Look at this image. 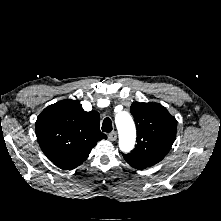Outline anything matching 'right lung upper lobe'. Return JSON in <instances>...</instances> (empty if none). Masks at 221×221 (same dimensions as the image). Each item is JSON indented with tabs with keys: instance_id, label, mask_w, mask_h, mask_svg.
I'll use <instances>...</instances> for the list:
<instances>
[{
	"instance_id": "1",
	"label": "right lung upper lobe",
	"mask_w": 221,
	"mask_h": 221,
	"mask_svg": "<svg viewBox=\"0 0 221 221\" xmlns=\"http://www.w3.org/2000/svg\"><path fill=\"white\" fill-rule=\"evenodd\" d=\"M98 112H86L76 100L48 106L36 121L39 145L56 166L70 170L81 165L91 149L107 136L99 129Z\"/></svg>"
}]
</instances>
